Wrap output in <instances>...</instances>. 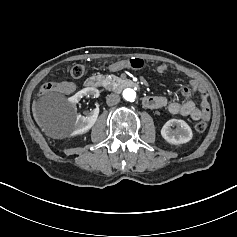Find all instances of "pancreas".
I'll use <instances>...</instances> for the list:
<instances>
[{
  "mask_svg": "<svg viewBox=\"0 0 237 237\" xmlns=\"http://www.w3.org/2000/svg\"><path fill=\"white\" fill-rule=\"evenodd\" d=\"M102 83L107 90H112L120 86L121 79L113 74H106L103 76Z\"/></svg>",
  "mask_w": 237,
  "mask_h": 237,
  "instance_id": "1",
  "label": "pancreas"
}]
</instances>
